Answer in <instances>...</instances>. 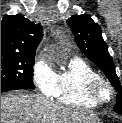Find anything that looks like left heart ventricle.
Listing matches in <instances>:
<instances>
[{"label":"left heart ventricle","mask_w":122,"mask_h":123,"mask_svg":"<svg viewBox=\"0 0 122 123\" xmlns=\"http://www.w3.org/2000/svg\"><path fill=\"white\" fill-rule=\"evenodd\" d=\"M101 93H102V96L103 97H107L108 96V91H107L106 88H103L102 91H101Z\"/></svg>","instance_id":"1"}]
</instances>
